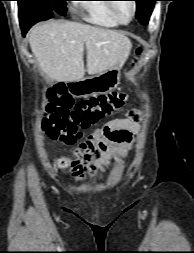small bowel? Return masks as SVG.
Here are the masks:
<instances>
[{"instance_id": "c3829d8e", "label": "small bowel", "mask_w": 194, "mask_h": 253, "mask_svg": "<svg viewBox=\"0 0 194 253\" xmlns=\"http://www.w3.org/2000/svg\"><path fill=\"white\" fill-rule=\"evenodd\" d=\"M141 112L130 109L125 118H116L95 129L75 150L78 156L69 170L75 181L104 174L112 160H122L132 147L134 134L139 130Z\"/></svg>"}]
</instances>
